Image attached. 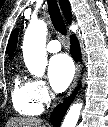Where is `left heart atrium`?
<instances>
[{
	"mask_svg": "<svg viewBox=\"0 0 108 127\" xmlns=\"http://www.w3.org/2000/svg\"><path fill=\"white\" fill-rule=\"evenodd\" d=\"M74 73V65L67 55L60 54L51 58L48 66V77L55 91H64L71 83Z\"/></svg>",
	"mask_w": 108,
	"mask_h": 127,
	"instance_id": "1",
	"label": "left heart atrium"
}]
</instances>
